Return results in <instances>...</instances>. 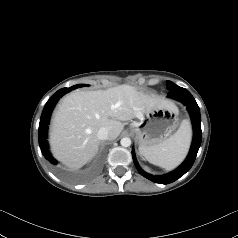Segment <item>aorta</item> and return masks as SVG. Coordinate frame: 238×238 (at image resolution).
I'll list each match as a JSON object with an SVG mask.
<instances>
[{
	"label": "aorta",
	"mask_w": 238,
	"mask_h": 238,
	"mask_svg": "<svg viewBox=\"0 0 238 238\" xmlns=\"http://www.w3.org/2000/svg\"><path fill=\"white\" fill-rule=\"evenodd\" d=\"M123 147H129L131 145V139L129 137H124L120 141Z\"/></svg>",
	"instance_id": "762f6f07"
}]
</instances>
